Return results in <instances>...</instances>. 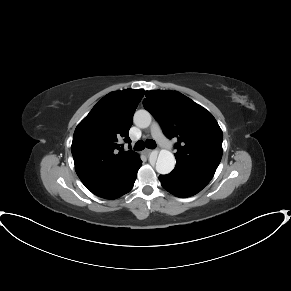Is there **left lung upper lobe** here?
Here are the masks:
<instances>
[{"label":"left lung upper lobe","mask_w":291,"mask_h":291,"mask_svg":"<svg viewBox=\"0 0 291 291\" xmlns=\"http://www.w3.org/2000/svg\"><path fill=\"white\" fill-rule=\"evenodd\" d=\"M144 107L164 134L178 139L176 166L213 174L222 158L223 133L205 108L177 91H146Z\"/></svg>","instance_id":"left-lung-upper-lobe-1"}]
</instances>
